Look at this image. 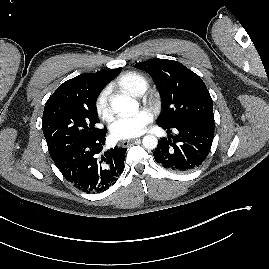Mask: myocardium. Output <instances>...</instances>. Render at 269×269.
Masks as SVG:
<instances>
[{
  "instance_id": "1",
  "label": "myocardium",
  "mask_w": 269,
  "mask_h": 269,
  "mask_svg": "<svg viewBox=\"0 0 269 269\" xmlns=\"http://www.w3.org/2000/svg\"><path fill=\"white\" fill-rule=\"evenodd\" d=\"M146 101L152 109L156 110L159 108V99L156 96L149 95L146 97Z\"/></svg>"
}]
</instances>
